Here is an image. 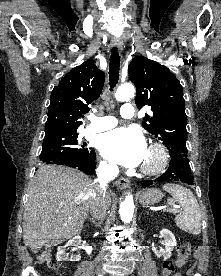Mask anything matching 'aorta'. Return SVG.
I'll list each match as a JSON object with an SVG mask.
<instances>
[{"instance_id": "aorta-1", "label": "aorta", "mask_w": 221, "mask_h": 276, "mask_svg": "<svg viewBox=\"0 0 221 276\" xmlns=\"http://www.w3.org/2000/svg\"><path fill=\"white\" fill-rule=\"evenodd\" d=\"M134 94V86L131 84H124L117 89L115 93V98L119 101H127L134 97ZM119 212L121 220L124 223H129L132 220L134 212V201L131 194L127 195L125 200L121 202Z\"/></svg>"}]
</instances>
